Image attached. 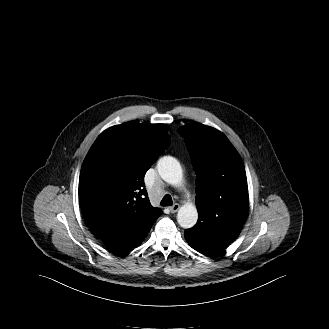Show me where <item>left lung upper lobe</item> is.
<instances>
[{
  "label": "left lung upper lobe",
  "instance_id": "1",
  "mask_svg": "<svg viewBox=\"0 0 329 329\" xmlns=\"http://www.w3.org/2000/svg\"><path fill=\"white\" fill-rule=\"evenodd\" d=\"M196 171L198 222L189 229L203 240L225 229H241L249 208L247 178L236 149L220 131L190 123L179 128Z\"/></svg>",
  "mask_w": 329,
  "mask_h": 329
}]
</instances>
